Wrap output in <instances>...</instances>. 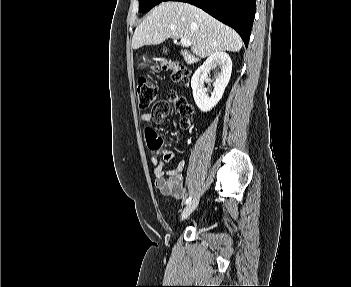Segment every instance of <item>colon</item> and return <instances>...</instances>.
<instances>
[{
  "label": "colon",
  "mask_w": 351,
  "mask_h": 287,
  "mask_svg": "<svg viewBox=\"0 0 351 287\" xmlns=\"http://www.w3.org/2000/svg\"><path fill=\"white\" fill-rule=\"evenodd\" d=\"M155 70L161 69L169 71L171 79L174 82H182L188 76V71L181 67L176 61L170 59H159V65L154 67ZM136 96L140 109H147L153 105V114L158 119H163L170 110V103L175 107L181 115L180 126L187 128L192 124L193 109L188 101L180 95L172 92L169 96V101H157V88L152 80L147 77H142L136 87ZM163 146V144H162Z\"/></svg>",
  "instance_id": "obj_1"
}]
</instances>
